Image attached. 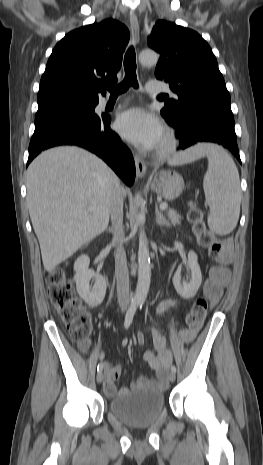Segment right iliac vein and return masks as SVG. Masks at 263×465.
Returning a JSON list of instances; mask_svg holds the SVG:
<instances>
[{
    "mask_svg": "<svg viewBox=\"0 0 263 465\" xmlns=\"http://www.w3.org/2000/svg\"><path fill=\"white\" fill-rule=\"evenodd\" d=\"M103 379H104V375H103V372L101 371L97 374V382L101 383Z\"/></svg>",
    "mask_w": 263,
    "mask_h": 465,
    "instance_id": "obj_1",
    "label": "right iliac vein"
}]
</instances>
